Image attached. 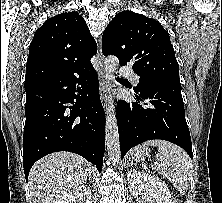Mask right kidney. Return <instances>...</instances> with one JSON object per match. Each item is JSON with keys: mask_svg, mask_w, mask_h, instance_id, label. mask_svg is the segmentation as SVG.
I'll use <instances>...</instances> for the list:
<instances>
[{"mask_svg": "<svg viewBox=\"0 0 222 203\" xmlns=\"http://www.w3.org/2000/svg\"><path fill=\"white\" fill-rule=\"evenodd\" d=\"M61 203H91V190L87 185L74 188L62 198Z\"/></svg>", "mask_w": 222, "mask_h": 203, "instance_id": "1", "label": "right kidney"}]
</instances>
